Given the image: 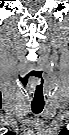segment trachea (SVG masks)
Returning <instances> with one entry per match:
<instances>
[{
    "label": "trachea",
    "instance_id": "obj_1",
    "mask_svg": "<svg viewBox=\"0 0 69 135\" xmlns=\"http://www.w3.org/2000/svg\"><path fill=\"white\" fill-rule=\"evenodd\" d=\"M31 107H32V111L35 113V114H38L40 113L43 108H44V103H32L31 104Z\"/></svg>",
    "mask_w": 69,
    "mask_h": 135
}]
</instances>
